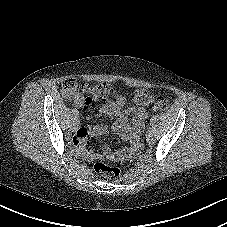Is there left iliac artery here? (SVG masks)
<instances>
[{"label":"left iliac artery","mask_w":227,"mask_h":227,"mask_svg":"<svg viewBox=\"0 0 227 227\" xmlns=\"http://www.w3.org/2000/svg\"><path fill=\"white\" fill-rule=\"evenodd\" d=\"M151 132H152L151 128L148 127V128H147V133H151Z\"/></svg>","instance_id":"obj_1"}]
</instances>
